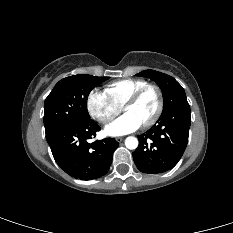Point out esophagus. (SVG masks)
Here are the masks:
<instances>
[{
  "label": "esophagus",
  "instance_id": "esophagus-1",
  "mask_svg": "<svg viewBox=\"0 0 233 233\" xmlns=\"http://www.w3.org/2000/svg\"><path fill=\"white\" fill-rule=\"evenodd\" d=\"M123 139H124V137H117V138H116V140H117L118 142L123 141Z\"/></svg>",
  "mask_w": 233,
  "mask_h": 233
}]
</instances>
